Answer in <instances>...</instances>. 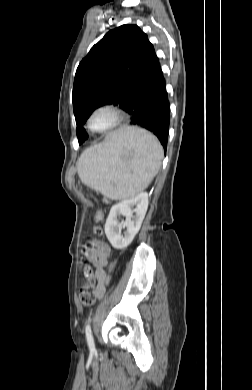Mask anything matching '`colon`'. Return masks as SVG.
Here are the masks:
<instances>
[{"instance_id":"colon-1","label":"colon","mask_w":252,"mask_h":390,"mask_svg":"<svg viewBox=\"0 0 252 390\" xmlns=\"http://www.w3.org/2000/svg\"><path fill=\"white\" fill-rule=\"evenodd\" d=\"M102 218H103V213L101 211H97L95 216H94L95 223H99L102 220ZM94 232L96 234H101L102 230L98 225H96L94 227ZM84 273L88 278V283L81 288L80 293H79V297H80L81 303L84 306H91L94 304V302L96 300V289L94 287V284L91 282L90 272L88 270H86V268H85Z\"/></svg>"}]
</instances>
